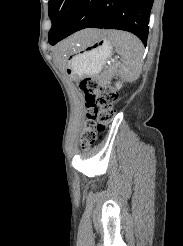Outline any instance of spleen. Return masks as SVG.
Masks as SVG:
<instances>
[{
    "label": "spleen",
    "mask_w": 183,
    "mask_h": 246,
    "mask_svg": "<svg viewBox=\"0 0 183 246\" xmlns=\"http://www.w3.org/2000/svg\"><path fill=\"white\" fill-rule=\"evenodd\" d=\"M107 38L121 56L123 64L118 75L128 81H135L140 76L143 62L144 47L140 39L131 33L111 30L106 33Z\"/></svg>",
    "instance_id": "1"
}]
</instances>
